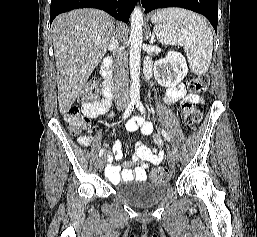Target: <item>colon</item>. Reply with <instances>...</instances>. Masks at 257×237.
<instances>
[{"label":"colon","mask_w":257,"mask_h":237,"mask_svg":"<svg viewBox=\"0 0 257 237\" xmlns=\"http://www.w3.org/2000/svg\"><path fill=\"white\" fill-rule=\"evenodd\" d=\"M208 84L209 77L207 75H198L189 82V90L194 93H204L208 88ZM97 95V84L96 82H91L85 87L81 97L83 100H92L95 99ZM182 114L186 125L190 129H194L201 121V112L194 104H183ZM65 119L69 124L72 134H78L90 127L89 120L80 114L76 106H72L66 111ZM150 178L154 182L169 180L171 178V171L165 167L158 168L151 173Z\"/></svg>","instance_id":"colon-1"}]
</instances>
